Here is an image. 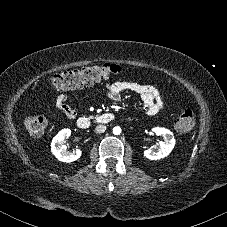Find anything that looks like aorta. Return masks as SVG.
Masks as SVG:
<instances>
[{
  "instance_id": "aorta-1",
  "label": "aorta",
  "mask_w": 227,
  "mask_h": 227,
  "mask_svg": "<svg viewBox=\"0 0 227 227\" xmlns=\"http://www.w3.org/2000/svg\"><path fill=\"white\" fill-rule=\"evenodd\" d=\"M113 133H114L115 135H119V134L121 133V128H120V127H114V128H113Z\"/></svg>"
}]
</instances>
